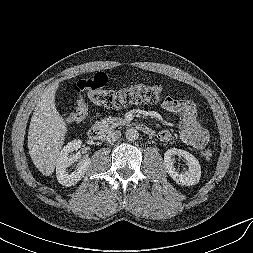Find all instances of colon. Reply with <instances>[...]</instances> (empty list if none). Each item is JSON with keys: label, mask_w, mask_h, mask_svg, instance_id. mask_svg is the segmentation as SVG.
Listing matches in <instances>:
<instances>
[{"label": "colon", "mask_w": 253, "mask_h": 253, "mask_svg": "<svg viewBox=\"0 0 253 253\" xmlns=\"http://www.w3.org/2000/svg\"><path fill=\"white\" fill-rule=\"evenodd\" d=\"M107 81V76L102 72L78 81L76 91L79 93V97L75 111L68 116L69 122H80L87 115L88 103L85 95L92 102L107 107H121L140 102L153 103L157 102L162 95V86L158 81L148 85H136L120 91L106 90ZM212 156L213 150L211 148L204 150L203 157L206 160L211 159Z\"/></svg>", "instance_id": "1"}]
</instances>
